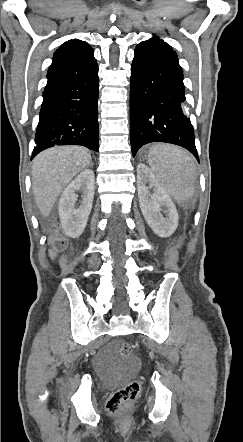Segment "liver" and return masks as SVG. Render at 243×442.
I'll list each match as a JSON object with an SVG mask.
<instances>
[{"label":"liver","instance_id":"liver-1","mask_svg":"<svg viewBox=\"0 0 243 442\" xmlns=\"http://www.w3.org/2000/svg\"><path fill=\"white\" fill-rule=\"evenodd\" d=\"M88 149L55 146L39 153L32 165V190L38 209L47 218L65 186L91 163Z\"/></svg>","mask_w":243,"mask_h":442}]
</instances>
